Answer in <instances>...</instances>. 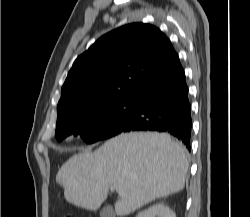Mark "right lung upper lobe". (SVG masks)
Wrapping results in <instances>:
<instances>
[{"instance_id":"1","label":"right lung upper lobe","mask_w":250,"mask_h":217,"mask_svg":"<svg viewBox=\"0 0 250 217\" xmlns=\"http://www.w3.org/2000/svg\"><path fill=\"white\" fill-rule=\"evenodd\" d=\"M179 62L157 27L132 23L117 28L75 60L61 90L57 123L102 103L132 99Z\"/></svg>"}]
</instances>
